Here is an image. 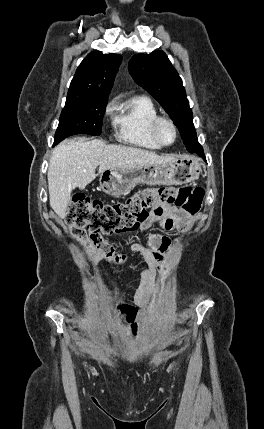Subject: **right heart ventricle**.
I'll return each mask as SVG.
<instances>
[{"label":"right heart ventricle","instance_id":"1","mask_svg":"<svg viewBox=\"0 0 264 429\" xmlns=\"http://www.w3.org/2000/svg\"><path fill=\"white\" fill-rule=\"evenodd\" d=\"M159 116L154 102L145 95H138L118 108L115 118V137L131 146L158 150L162 146L151 135L150 127Z\"/></svg>","mask_w":264,"mask_h":429}]
</instances>
